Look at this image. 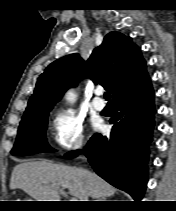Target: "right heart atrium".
Returning a JSON list of instances; mask_svg holds the SVG:
<instances>
[{
  "instance_id": "obj_1",
  "label": "right heart atrium",
  "mask_w": 176,
  "mask_h": 211,
  "mask_svg": "<svg viewBox=\"0 0 176 211\" xmlns=\"http://www.w3.org/2000/svg\"><path fill=\"white\" fill-rule=\"evenodd\" d=\"M53 144L64 151H77L85 144L84 120L72 109L57 111L51 121Z\"/></svg>"
}]
</instances>
